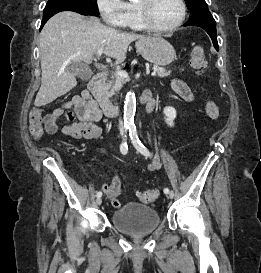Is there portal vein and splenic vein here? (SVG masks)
Returning a JSON list of instances; mask_svg holds the SVG:
<instances>
[{"instance_id": "portal-vein-and-splenic-vein-1", "label": "portal vein and splenic vein", "mask_w": 261, "mask_h": 273, "mask_svg": "<svg viewBox=\"0 0 261 273\" xmlns=\"http://www.w3.org/2000/svg\"><path fill=\"white\" fill-rule=\"evenodd\" d=\"M102 53H103V49H99V50L97 51V55H98V56H101ZM115 73H117V75L120 76V77H122V78H127V77H128L127 72L124 71V70L116 69V70H115ZM151 75H152V76H155V75H156V72H155V71L152 72Z\"/></svg>"}]
</instances>
